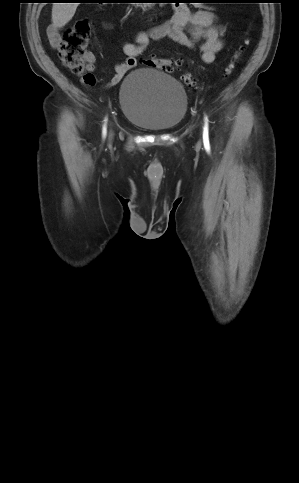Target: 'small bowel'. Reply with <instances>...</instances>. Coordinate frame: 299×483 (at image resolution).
Returning a JSON list of instances; mask_svg holds the SVG:
<instances>
[{
	"instance_id": "small-bowel-1",
	"label": "small bowel",
	"mask_w": 299,
	"mask_h": 483,
	"mask_svg": "<svg viewBox=\"0 0 299 483\" xmlns=\"http://www.w3.org/2000/svg\"><path fill=\"white\" fill-rule=\"evenodd\" d=\"M224 27L216 23V15L213 11L199 9L192 11L183 3L176 4L172 18L147 31L139 32L134 42L125 43L122 47L126 59L115 65V74L110 85L118 84L124 76L138 64V57L147 49L152 40L168 38L189 49L199 46L201 59L205 64L215 62L217 54L223 49ZM48 39L53 47L61 43V36L56 26H49ZM87 70L93 72L95 69V57L87 55Z\"/></svg>"
}]
</instances>
